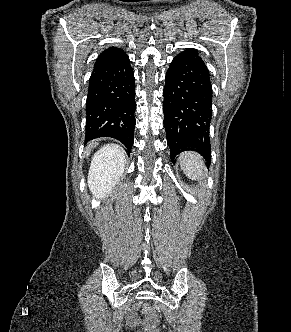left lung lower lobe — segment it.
<instances>
[{"instance_id":"left-lung-lower-lobe-1","label":"left lung lower lobe","mask_w":291,"mask_h":332,"mask_svg":"<svg viewBox=\"0 0 291 332\" xmlns=\"http://www.w3.org/2000/svg\"><path fill=\"white\" fill-rule=\"evenodd\" d=\"M163 90L164 127L170 158L195 148L210 163L209 128L212 119V85L204 61L193 48L170 63Z\"/></svg>"}]
</instances>
